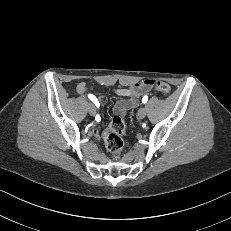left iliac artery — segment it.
<instances>
[{
  "label": "left iliac artery",
  "instance_id": "obj_1",
  "mask_svg": "<svg viewBox=\"0 0 231 231\" xmlns=\"http://www.w3.org/2000/svg\"><path fill=\"white\" fill-rule=\"evenodd\" d=\"M147 100H148V96L146 95V96H144L143 98H142V102L143 103H146L147 102Z\"/></svg>",
  "mask_w": 231,
  "mask_h": 231
}]
</instances>
